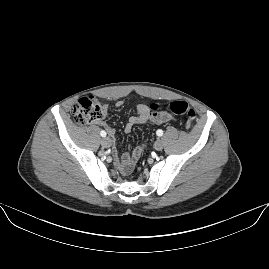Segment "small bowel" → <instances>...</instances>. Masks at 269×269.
<instances>
[{
  "instance_id": "small-bowel-1",
  "label": "small bowel",
  "mask_w": 269,
  "mask_h": 269,
  "mask_svg": "<svg viewBox=\"0 0 269 269\" xmlns=\"http://www.w3.org/2000/svg\"><path fill=\"white\" fill-rule=\"evenodd\" d=\"M120 105V103H118ZM104 115H107V106L104 107ZM174 121V117L167 113V112H161V113H153L149 110L147 104L142 103L138 106V114L136 116H133L129 118V120L126 123L125 126V132H130L132 129V126L135 124H162L166 122H172ZM97 125L102 127L110 137H114L116 132L113 127L108 125L104 120H99L96 122ZM143 152V147L136 148L133 153L132 157L128 153H125L122 155L121 159L118 161V165L120 169H123L124 164L127 162H133L134 160H137Z\"/></svg>"
}]
</instances>
